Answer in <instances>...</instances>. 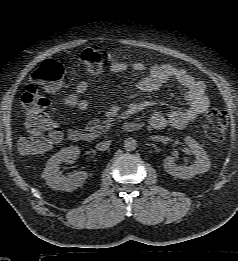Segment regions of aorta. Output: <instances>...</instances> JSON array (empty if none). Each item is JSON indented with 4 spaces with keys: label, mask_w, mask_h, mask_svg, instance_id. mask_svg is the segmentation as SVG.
I'll return each instance as SVG.
<instances>
[{
    "label": "aorta",
    "mask_w": 238,
    "mask_h": 261,
    "mask_svg": "<svg viewBox=\"0 0 238 261\" xmlns=\"http://www.w3.org/2000/svg\"><path fill=\"white\" fill-rule=\"evenodd\" d=\"M137 148V141L132 138V137H129L127 139L124 140V149L126 151H134L135 149Z\"/></svg>",
    "instance_id": "aorta-1"
}]
</instances>
